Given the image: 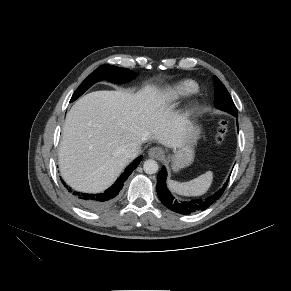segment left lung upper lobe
<instances>
[{"mask_svg":"<svg viewBox=\"0 0 291 291\" xmlns=\"http://www.w3.org/2000/svg\"><path fill=\"white\" fill-rule=\"evenodd\" d=\"M215 87V101L214 105L216 108L229 112L233 115L238 114L237 108L228 93L223 83L215 76L214 77Z\"/></svg>","mask_w":291,"mask_h":291,"instance_id":"left-lung-upper-lobe-1","label":"left lung upper lobe"}]
</instances>
